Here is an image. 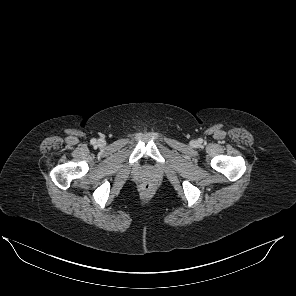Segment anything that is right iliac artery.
<instances>
[{"label":"right iliac artery","mask_w":296,"mask_h":296,"mask_svg":"<svg viewBox=\"0 0 296 296\" xmlns=\"http://www.w3.org/2000/svg\"><path fill=\"white\" fill-rule=\"evenodd\" d=\"M91 143H92V144H95V143H96V140H95V139H92V140H91Z\"/></svg>","instance_id":"right-iliac-artery-1"}]
</instances>
